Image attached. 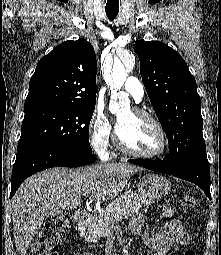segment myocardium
Returning <instances> with one entry per match:
<instances>
[{
  "instance_id": "myocardium-1",
  "label": "myocardium",
  "mask_w": 221,
  "mask_h": 255,
  "mask_svg": "<svg viewBox=\"0 0 221 255\" xmlns=\"http://www.w3.org/2000/svg\"><path fill=\"white\" fill-rule=\"evenodd\" d=\"M135 115L150 121L155 128L157 129L159 136H160V147L157 151L153 152V153H142V152H138L136 150L131 149L129 146H127L125 144V142L122 140V138L120 137V135L118 134V131H115V144L116 147L123 152L124 154H127L129 156H133L136 158H141V159H157L162 157L166 151H167V147H168V139H167V135L166 132L163 128V126L161 125V123L159 122V120L154 117L152 114L139 109V108H133L131 110Z\"/></svg>"
}]
</instances>
